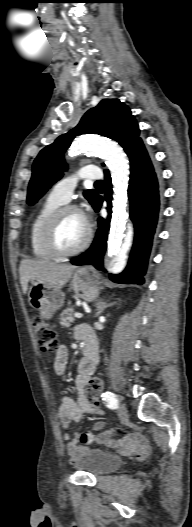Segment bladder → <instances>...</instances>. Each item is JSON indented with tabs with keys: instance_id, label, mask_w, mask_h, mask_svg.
Here are the masks:
<instances>
[{
	"instance_id": "31cf9c89",
	"label": "bladder",
	"mask_w": 192,
	"mask_h": 527,
	"mask_svg": "<svg viewBox=\"0 0 192 527\" xmlns=\"http://www.w3.org/2000/svg\"><path fill=\"white\" fill-rule=\"evenodd\" d=\"M122 463L118 454L94 448L79 455L74 463L76 469L94 476L107 474Z\"/></svg>"
}]
</instances>
